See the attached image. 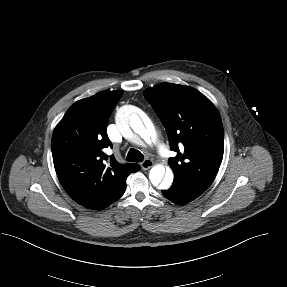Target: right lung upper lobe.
<instances>
[{"label":"right lung upper lobe","instance_id":"obj_1","mask_svg":"<svg viewBox=\"0 0 287 287\" xmlns=\"http://www.w3.org/2000/svg\"><path fill=\"white\" fill-rule=\"evenodd\" d=\"M122 91H102L75 102L56 126L51 149L60 183L78 204L102 210L125 192L130 173L138 164H120L104 153L112 147L108 119Z\"/></svg>","mask_w":287,"mask_h":287}]
</instances>
